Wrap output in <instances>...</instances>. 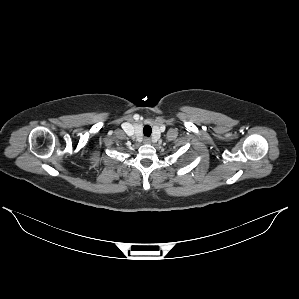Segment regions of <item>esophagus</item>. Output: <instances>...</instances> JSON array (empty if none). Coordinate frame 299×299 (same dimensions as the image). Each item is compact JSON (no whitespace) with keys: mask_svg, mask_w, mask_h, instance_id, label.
Here are the masks:
<instances>
[{"mask_svg":"<svg viewBox=\"0 0 299 299\" xmlns=\"http://www.w3.org/2000/svg\"><path fill=\"white\" fill-rule=\"evenodd\" d=\"M144 143L145 144H150L151 143V139L149 137H145Z\"/></svg>","mask_w":299,"mask_h":299,"instance_id":"esophagus-1","label":"esophagus"}]
</instances>
